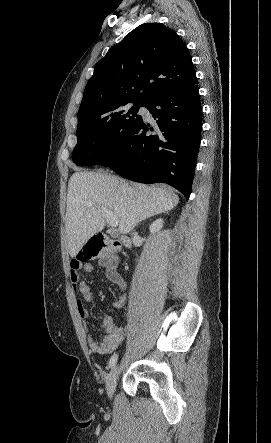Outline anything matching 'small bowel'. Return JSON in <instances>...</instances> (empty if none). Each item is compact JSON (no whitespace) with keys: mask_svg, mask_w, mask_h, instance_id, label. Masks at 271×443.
I'll return each instance as SVG.
<instances>
[{"mask_svg":"<svg viewBox=\"0 0 271 443\" xmlns=\"http://www.w3.org/2000/svg\"><path fill=\"white\" fill-rule=\"evenodd\" d=\"M104 267L106 277L113 282L119 290V296L114 301L113 306L115 308H122L126 302V294L124 292L126 286L125 280L117 272L113 262L105 263ZM80 269H83L85 273H90L93 270V266L90 263L82 264L76 259H72L70 262V279L74 289H77L79 292L76 298L78 315L83 321H87L89 313L83 301L93 303L94 299L87 283L80 279ZM97 332L100 338L96 340L93 336L89 335L88 344L93 352L99 354L112 353L123 343L125 338V328L118 325L115 319L109 314L104 316Z\"/></svg>","mask_w":271,"mask_h":443,"instance_id":"1","label":"small bowel"}]
</instances>
